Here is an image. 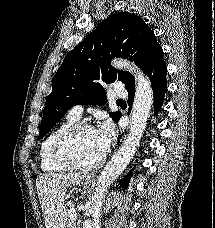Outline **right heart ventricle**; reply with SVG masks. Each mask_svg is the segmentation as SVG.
<instances>
[{
    "label": "right heart ventricle",
    "mask_w": 215,
    "mask_h": 228,
    "mask_svg": "<svg viewBox=\"0 0 215 228\" xmlns=\"http://www.w3.org/2000/svg\"><path fill=\"white\" fill-rule=\"evenodd\" d=\"M78 119L67 114L66 117L53 129H51L41 142L39 150L40 167L46 173H58L64 171L63 168L56 165L51 158V146L57 135L68 126L76 123Z\"/></svg>",
    "instance_id": "e07e8e85"
}]
</instances>
